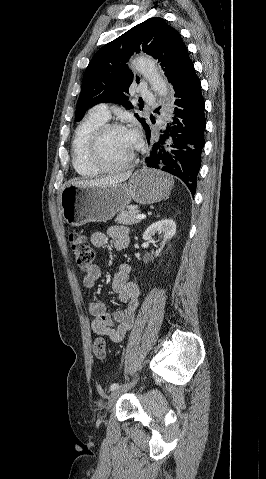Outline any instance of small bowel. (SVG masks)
Returning a JSON list of instances; mask_svg holds the SVG:
<instances>
[{"label": "small bowel", "instance_id": "small-bowel-1", "mask_svg": "<svg viewBox=\"0 0 266 479\" xmlns=\"http://www.w3.org/2000/svg\"><path fill=\"white\" fill-rule=\"evenodd\" d=\"M128 228L112 226L108 231L94 232L91 242L95 247H104L112 241L116 250L125 249L129 243ZM131 266L121 264L112 280V289L117 295V301L122 306L119 310L109 312L103 301L95 300L89 304L92 316L91 330L94 334L108 336L113 342H121L133 325L137 307L139 305V286L130 280ZM101 270L93 265L83 277V285L91 289L100 278Z\"/></svg>", "mask_w": 266, "mask_h": 479}]
</instances>
